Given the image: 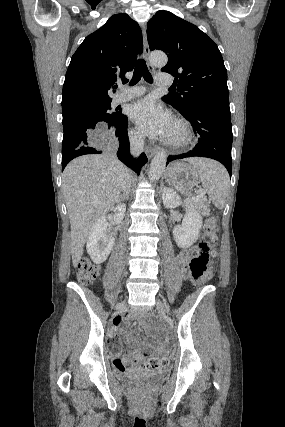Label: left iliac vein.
Returning a JSON list of instances; mask_svg holds the SVG:
<instances>
[{"instance_id": "1", "label": "left iliac vein", "mask_w": 285, "mask_h": 427, "mask_svg": "<svg viewBox=\"0 0 285 427\" xmlns=\"http://www.w3.org/2000/svg\"><path fill=\"white\" fill-rule=\"evenodd\" d=\"M157 308L161 313H166L167 308L166 305L159 299H157Z\"/></svg>"}]
</instances>
